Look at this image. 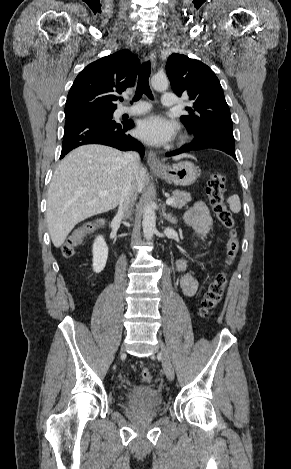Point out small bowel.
<instances>
[{
	"label": "small bowel",
	"mask_w": 291,
	"mask_h": 469,
	"mask_svg": "<svg viewBox=\"0 0 291 469\" xmlns=\"http://www.w3.org/2000/svg\"><path fill=\"white\" fill-rule=\"evenodd\" d=\"M185 222L193 229V238L204 236L210 227L211 217L204 202L195 203L185 214ZM177 270L181 273L180 287L183 293L188 296H194L199 288L198 280L190 274L185 273L186 261L180 258L176 262Z\"/></svg>",
	"instance_id": "c3829d8e"
}]
</instances>
